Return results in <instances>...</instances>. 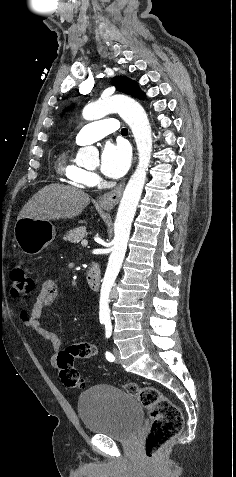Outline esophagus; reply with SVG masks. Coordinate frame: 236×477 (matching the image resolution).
I'll return each mask as SVG.
<instances>
[{"label":"esophagus","instance_id":"34e87169","mask_svg":"<svg viewBox=\"0 0 236 477\" xmlns=\"http://www.w3.org/2000/svg\"><path fill=\"white\" fill-rule=\"evenodd\" d=\"M124 189V183L116 186L111 191L99 197L98 202L102 208L112 209L120 200Z\"/></svg>","mask_w":236,"mask_h":477}]
</instances>
